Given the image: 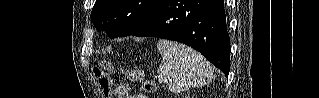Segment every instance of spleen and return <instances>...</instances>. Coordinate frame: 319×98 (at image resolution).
Segmentation results:
<instances>
[{"instance_id":"spleen-1","label":"spleen","mask_w":319,"mask_h":98,"mask_svg":"<svg viewBox=\"0 0 319 98\" xmlns=\"http://www.w3.org/2000/svg\"><path fill=\"white\" fill-rule=\"evenodd\" d=\"M157 49L162 56L159 78L169 81V90L180 93L211 82L213 68L194 49L167 40H159Z\"/></svg>"}]
</instances>
